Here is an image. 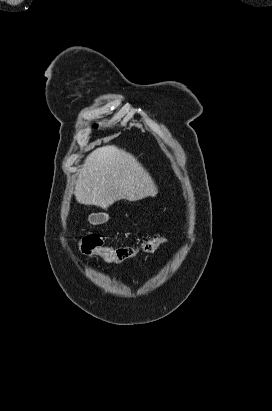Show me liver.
<instances>
[{
  "mask_svg": "<svg viewBox=\"0 0 272 411\" xmlns=\"http://www.w3.org/2000/svg\"><path fill=\"white\" fill-rule=\"evenodd\" d=\"M158 193L150 174L130 153L114 145L88 155L75 186L76 200L106 209L116 201H137Z\"/></svg>",
  "mask_w": 272,
  "mask_h": 411,
  "instance_id": "1",
  "label": "liver"
}]
</instances>
